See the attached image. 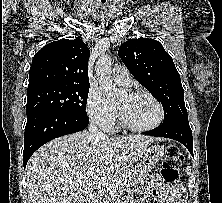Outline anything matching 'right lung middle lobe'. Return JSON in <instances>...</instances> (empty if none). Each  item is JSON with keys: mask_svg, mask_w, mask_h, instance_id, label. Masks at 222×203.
Instances as JSON below:
<instances>
[{"mask_svg": "<svg viewBox=\"0 0 222 203\" xmlns=\"http://www.w3.org/2000/svg\"><path fill=\"white\" fill-rule=\"evenodd\" d=\"M89 85H56L27 90V116L40 111L87 114Z\"/></svg>", "mask_w": 222, "mask_h": 203, "instance_id": "1", "label": "right lung middle lobe"}]
</instances>
